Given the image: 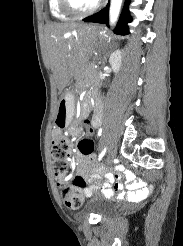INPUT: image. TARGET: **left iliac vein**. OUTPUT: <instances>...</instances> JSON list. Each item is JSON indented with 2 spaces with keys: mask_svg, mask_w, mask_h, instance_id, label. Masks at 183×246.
<instances>
[{
  "mask_svg": "<svg viewBox=\"0 0 183 246\" xmlns=\"http://www.w3.org/2000/svg\"><path fill=\"white\" fill-rule=\"evenodd\" d=\"M116 149H111L107 155L106 163L107 165H111L116 157Z\"/></svg>",
  "mask_w": 183,
  "mask_h": 246,
  "instance_id": "1",
  "label": "left iliac vein"
}]
</instances>
